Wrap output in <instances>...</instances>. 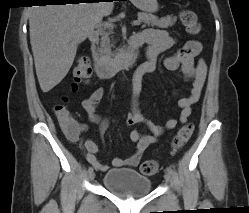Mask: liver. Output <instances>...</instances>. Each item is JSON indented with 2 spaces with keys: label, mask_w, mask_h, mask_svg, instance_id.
Returning a JSON list of instances; mask_svg holds the SVG:
<instances>
[{
  "label": "liver",
  "mask_w": 249,
  "mask_h": 213,
  "mask_svg": "<svg viewBox=\"0 0 249 213\" xmlns=\"http://www.w3.org/2000/svg\"><path fill=\"white\" fill-rule=\"evenodd\" d=\"M113 2L33 6L30 43L40 88L49 92L69 72L78 45L112 13Z\"/></svg>",
  "instance_id": "liver-1"
}]
</instances>
